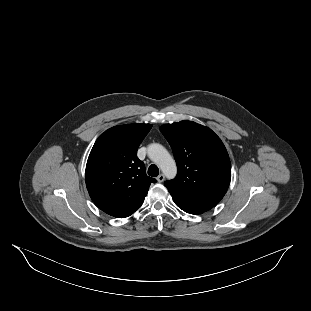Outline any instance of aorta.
I'll use <instances>...</instances> for the list:
<instances>
[{"label":"aorta","instance_id":"1","mask_svg":"<svg viewBox=\"0 0 311 311\" xmlns=\"http://www.w3.org/2000/svg\"><path fill=\"white\" fill-rule=\"evenodd\" d=\"M148 156L168 178L176 175V162L164 146L160 144L150 145Z\"/></svg>","mask_w":311,"mask_h":311}]
</instances>
